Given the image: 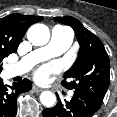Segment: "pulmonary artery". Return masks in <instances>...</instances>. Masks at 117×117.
<instances>
[{"label": "pulmonary artery", "mask_w": 117, "mask_h": 117, "mask_svg": "<svg viewBox=\"0 0 117 117\" xmlns=\"http://www.w3.org/2000/svg\"><path fill=\"white\" fill-rule=\"evenodd\" d=\"M72 40L73 32L71 29L55 26L51 32L50 42L45 47L31 52L18 63L10 65L7 68L8 75L13 77L24 74L38 62L62 54L70 47ZM69 96H72V93Z\"/></svg>", "instance_id": "pulmonary-artery-1"}]
</instances>
